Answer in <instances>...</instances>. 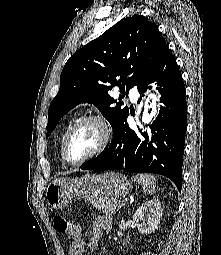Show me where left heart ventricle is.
I'll list each match as a JSON object with an SVG mask.
<instances>
[{
  "label": "left heart ventricle",
  "mask_w": 221,
  "mask_h": 255,
  "mask_svg": "<svg viewBox=\"0 0 221 255\" xmlns=\"http://www.w3.org/2000/svg\"><path fill=\"white\" fill-rule=\"evenodd\" d=\"M102 133L95 123H89L78 129L68 145L71 160L78 161L91 154L100 144Z\"/></svg>",
  "instance_id": "left-heart-ventricle-1"
}]
</instances>
